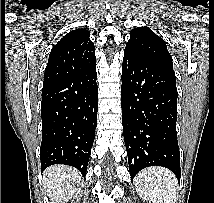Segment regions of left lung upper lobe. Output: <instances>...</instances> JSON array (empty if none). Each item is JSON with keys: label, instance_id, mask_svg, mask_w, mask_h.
<instances>
[{"label": "left lung upper lobe", "instance_id": "obj_1", "mask_svg": "<svg viewBox=\"0 0 214 203\" xmlns=\"http://www.w3.org/2000/svg\"><path fill=\"white\" fill-rule=\"evenodd\" d=\"M124 53L173 71L172 58L165 41L149 27H137L130 31V39L126 43Z\"/></svg>", "mask_w": 214, "mask_h": 203}]
</instances>
